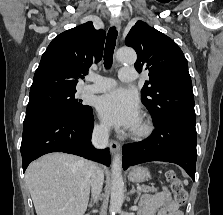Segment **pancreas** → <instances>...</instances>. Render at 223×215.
Returning a JSON list of instances; mask_svg holds the SVG:
<instances>
[{
  "instance_id": "obj_1",
  "label": "pancreas",
  "mask_w": 223,
  "mask_h": 215,
  "mask_svg": "<svg viewBox=\"0 0 223 215\" xmlns=\"http://www.w3.org/2000/svg\"><path fill=\"white\" fill-rule=\"evenodd\" d=\"M141 191H158V187H153V185H144Z\"/></svg>"
}]
</instances>
